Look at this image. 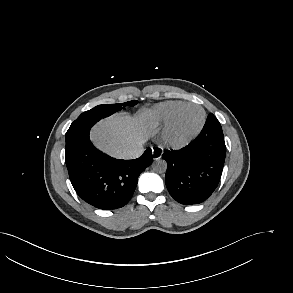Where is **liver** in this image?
<instances>
[{
    "label": "liver",
    "mask_w": 293,
    "mask_h": 293,
    "mask_svg": "<svg viewBox=\"0 0 293 293\" xmlns=\"http://www.w3.org/2000/svg\"><path fill=\"white\" fill-rule=\"evenodd\" d=\"M156 126L153 112L148 109L134 117L116 114L93 127L91 140L109 155L123 158L127 149L143 145Z\"/></svg>",
    "instance_id": "obj_1"
}]
</instances>
